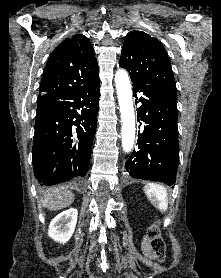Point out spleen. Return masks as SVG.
Wrapping results in <instances>:
<instances>
[{"label":"spleen","mask_w":221,"mask_h":278,"mask_svg":"<svg viewBox=\"0 0 221 278\" xmlns=\"http://www.w3.org/2000/svg\"><path fill=\"white\" fill-rule=\"evenodd\" d=\"M144 191L154 207L161 212L168 209V193L164 186L156 183H148Z\"/></svg>","instance_id":"obj_1"}]
</instances>
